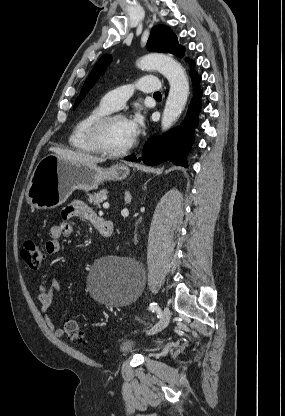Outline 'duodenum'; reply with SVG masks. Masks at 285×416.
I'll return each mask as SVG.
<instances>
[{"label":"duodenum","instance_id":"410a0bca","mask_svg":"<svg viewBox=\"0 0 285 416\" xmlns=\"http://www.w3.org/2000/svg\"><path fill=\"white\" fill-rule=\"evenodd\" d=\"M92 224L97 228L103 239L109 240L112 237L114 232V223L112 221L96 217Z\"/></svg>","mask_w":285,"mask_h":416}]
</instances>
